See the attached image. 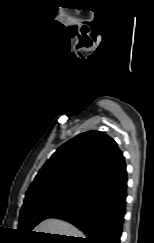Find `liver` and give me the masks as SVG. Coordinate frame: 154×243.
I'll return each mask as SVG.
<instances>
[{"label": "liver", "mask_w": 154, "mask_h": 243, "mask_svg": "<svg viewBox=\"0 0 154 243\" xmlns=\"http://www.w3.org/2000/svg\"><path fill=\"white\" fill-rule=\"evenodd\" d=\"M34 231L74 237L83 236V233L73 225L69 224L68 222L53 218L42 221L38 226H36Z\"/></svg>", "instance_id": "6515ba94"}]
</instances>
